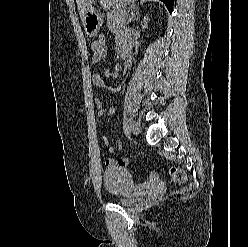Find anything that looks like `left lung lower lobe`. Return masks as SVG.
I'll use <instances>...</instances> for the list:
<instances>
[{"label": "left lung lower lobe", "mask_w": 248, "mask_h": 247, "mask_svg": "<svg viewBox=\"0 0 248 247\" xmlns=\"http://www.w3.org/2000/svg\"><path fill=\"white\" fill-rule=\"evenodd\" d=\"M161 1L166 5L169 12L172 13L174 0H161Z\"/></svg>", "instance_id": "obj_1"}]
</instances>
